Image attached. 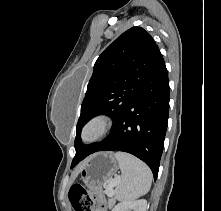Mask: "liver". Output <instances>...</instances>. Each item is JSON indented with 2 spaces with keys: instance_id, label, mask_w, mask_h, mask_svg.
I'll return each mask as SVG.
<instances>
[{
  "instance_id": "liver-1",
  "label": "liver",
  "mask_w": 221,
  "mask_h": 211,
  "mask_svg": "<svg viewBox=\"0 0 221 211\" xmlns=\"http://www.w3.org/2000/svg\"><path fill=\"white\" fill-rule=\"evenodd\" d=\"M86 162V161H85ZM85 162H83L79 167H78V169L75 171V173H74V178L78 175V173L81 171V169H82V167H83V165L85 164Z\"/></svg>"
}]
</instances>
